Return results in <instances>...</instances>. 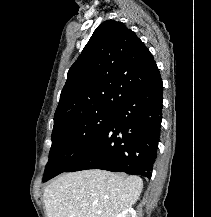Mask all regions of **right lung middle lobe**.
<instances>
[{
  "label": "right lung middle lobe",
  "mask_w": 211,
  "mask_h": 217,
  "mask_svg": "<svg viewBox=\"0 0 211 217\" xmlns=\"http://www.w3.org/2000/svg\"><path fill=\"white\" fill-rule=\"evenodd\" d=\"M115 110H99L69 119L54 127L43 181L65 172L102 137Z\"/></svg>",
  "instance_id": "obj_1"
}]
</instances>
